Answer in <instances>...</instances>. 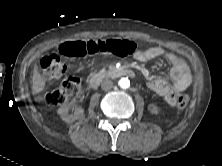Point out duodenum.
<instances>
[{
  "mask_svg": "<svg viewBox=\"0 0 222 166\" xmlns=\"http://www.w3.org/2000/svg\"><path fill=\"white\" fill-rule=\"evenodd\" d=\"M112 74L116 76H128V77H133L135 75L134 72L129 68H118L114 70ZM103 78H104L103 74H100V73L94 74L89 79V82H88L89 87L92 89L97 88L100 85Z\"/></svg>",
  "mask_w": 222,
  "mask_h": 166,
  "instance_id": "410a0bca",
  "label": "duodenum"
}]
</instances>
